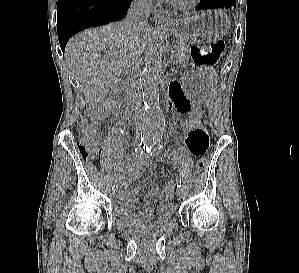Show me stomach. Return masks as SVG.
<instances>
[{"label":"stomach","mask_w":299,"mask_h":273,"mask_svg":"<svg viewBox=\"0 0 299 273\" xmlns=\"http://www.w3.org/2000/svg\"><path fill=\"white\" fill-rule=\"evenodd\" d=\"M230 28L229 17L220 10L201 11L171 21L166 29L179 41L195 43L197 48H208V43L225 35ZM217 69H194L183 73L188 101L202 102L208 95Z\"/></svg>","instance_id":"1"}]
</instances>
